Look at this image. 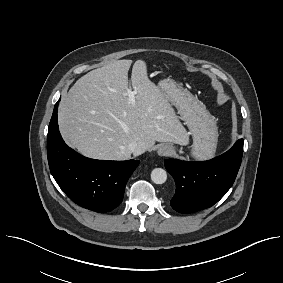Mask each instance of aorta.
Segmentation results:
<instances>
[{"mask_svg":"<svg viewBox=\"0 0 283 283\" xmlns=\"http://www.w3.org/2000/svg\"><path fill=\"white\" fill-rule=\"evenodd\" d=\"M151 180L155 184H163L167 180V173L162 168H155L151 172Z\"/></svg>","mask_w":283,"mask_h":283,"instance_id":"762f6f07","label":"aorta"}]
</instances>
